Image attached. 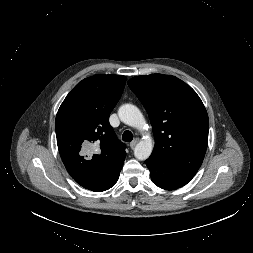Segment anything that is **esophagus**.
Masks as SVG:
<instances>
[{"label": "esophagus", "instance_id": "esophagus-1", "mask_svg": "<svg viewBox=\"0 0 253 253\" xmlns=\"http://www.w3.org/2000/svg\"><path fill=\"white\" fill-rule=\"evenodd\" d=\"M139 142V139H134L131 143H130V148H134L136 146V144Z\"/></svg>", "mask_w": 253, "mask_h": 253}]
</instances>
